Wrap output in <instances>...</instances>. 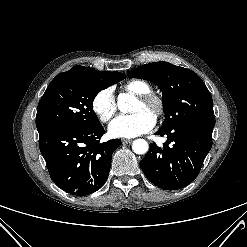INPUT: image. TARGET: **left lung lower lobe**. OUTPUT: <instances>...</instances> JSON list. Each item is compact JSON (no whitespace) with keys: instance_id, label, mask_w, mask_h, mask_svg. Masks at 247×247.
Returning a JSON list of instances; mask_svg holds the SVG:
<instances>
[{"instance_id":"left-lung-lower-lobe-1","label":"left lung lower lobe","mask_w":247,"mask_h":247,"mask_svg":"<svg viewBox=\"0 0 247 247\" xmlns=\"http://www.w3.org/2000/svg\"><path fill=\"white\" fill-rule=\"evenodd\" d=\"M212 132L213 129L194 123L160 128L156 135L167 136V141L163 148L150 144L140 161L145 176L165 190L184 188L197 177L212 147Z\"/></svg>"}]
</instances>
